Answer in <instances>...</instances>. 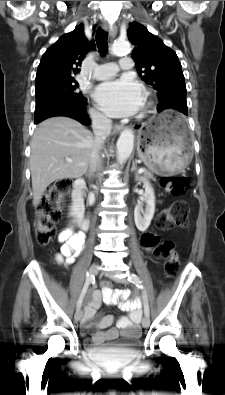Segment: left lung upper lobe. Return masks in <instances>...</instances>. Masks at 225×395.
<instances>
[{
	"label": "left lung upper lobe",
	"mask_w": 225,
	"mask_h": 395,
	"mask_svg": "<svg viewBox=\"0 0 225 395\" xmlns=\"http://www.w3.org/2000/svg\"><path fill=\"white\" fill-rule=\"evenodd\" d=\"M127 33L135 45L132 57L136 69L144 74L142 80L157 90L159 103L176 102L187 114L185 78L176 53L137 22L129 24Z\"/></svg>",
	"instance_id": "obj_1"
}]
</instances>
